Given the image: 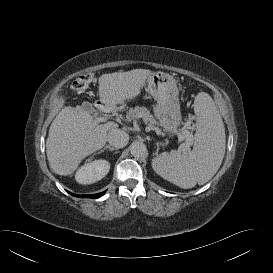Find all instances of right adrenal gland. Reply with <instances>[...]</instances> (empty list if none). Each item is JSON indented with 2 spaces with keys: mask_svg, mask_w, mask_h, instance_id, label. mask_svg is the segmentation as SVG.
<instances>
[{
  "mask_svg": "<svg viewBox=\"0 0 273 273\" xmlns=\"http://www.w3.org/2000/svg\"><path fill=\"white\" fill-rule=\"evenodd\" d=\"M109 149V151H115L117 148L111 147L110 145L105 146L102 150H100L98 153L103 152L104 150Z\"/></svg>",
  "mask_w": 273,
  "mask_h": 273,
  "instance_id": "2a0ac1e0",
  "label": "right adrenal gland"
}]
</instances>
